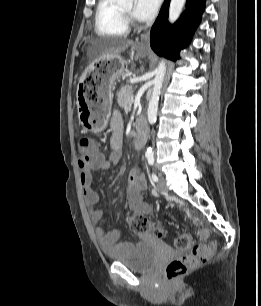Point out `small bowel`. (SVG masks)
<instances>
[{
  "label": "small bowel",
  "instance_id": "obj_1",
  "mask_svg": "<svg viewBox=\"0 0 261 306\" xmlns=\"http://www.w3.org/2000/svg\"><path fill=\"white\" fill-rule=\"evenodd\" d=\"M111 139L110 154L107 159H102L99 163L90 165L80 172V184L83 197L88 210V215L93 223H98L104 219L106 214L97 207L98 195L92 189L93 171H105L117 166L123 156V118L120 112L115 111L110 121ZM147 190V182L144 175L138 169L129 172L126 185V198L128 206L136 214H149L151 207L143 199V194ZM95 236L101 248L110 253H128L132 246L129 243L121 242V232L118 229L104 231L101 227L94 229Z\"/></svg>",
  "mask_w": 261,
  "mask_h": 306
}]
</instances>
